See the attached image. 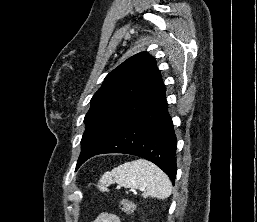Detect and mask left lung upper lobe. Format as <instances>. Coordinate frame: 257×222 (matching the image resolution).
Masks as SVG:
<instances>
[{
  "mask_svg": "<svg viewBox=\"0 0 257 222\" xmlns=\"http://www.w3.org/2000/svg\"><path fill=\"white\" fill-rule=\"evenodd\" d=\"M164 92L156 60L147 52L130 57L111 71L91 99L77 166L98 152Z\"/></svg>",
  "mask_w": 257,
  "mask_h": 222,
  "instance_id": "left-lung-upper-lobe-1",
  "label": "left lung upper lobe"
}]
</instances>
